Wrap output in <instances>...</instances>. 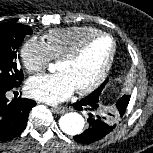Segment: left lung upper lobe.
I'll return each mask as SVG.
<instances>
[{
  "label": "left lung upper lobe",
  "mask_w": 153,
  "mask_h": 153,
  "mask_svg": "<svg viewBox=\"0 0 153 153\" xmlns=\"http://www.w3.org/2000/svg\"><path fill=\"white\" fill-rule=\"evenodd\" d=\"M107 81L108 80L104 81V83L97 90L92 92L88 97L99 98ZM129 100H130V95H124L120 100L117 101L116 108L108 109L107 113L104 115L107 121L114 127L116 126V123L119 121V119L123 116L127 108V105L129 103Z\"/></svg>",
  "instance_id": "5c2ea615"
}]
</instances>
